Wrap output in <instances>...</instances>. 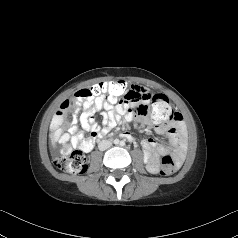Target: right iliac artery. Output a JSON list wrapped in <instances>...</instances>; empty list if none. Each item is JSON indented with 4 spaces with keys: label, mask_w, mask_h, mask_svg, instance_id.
I'll use <instances>...</instances> for the list:
<instances>
[{
    "label": "right iliac artery",
    "mask_w": 238,
    "mask_h": 238,
    "mask_svg": "<svg viewBox=\"0 0 238 238\" xmlns=\"http://www.w3.org/2000/svg\"><path fill=\"white\" fill-rule=\"evenodd\" d=\"M114 143H115V144H118V143H119V140H117V139L114 140Z\"/></svg>",
    "instance_id": "82829eb1"
}]
</instances>
